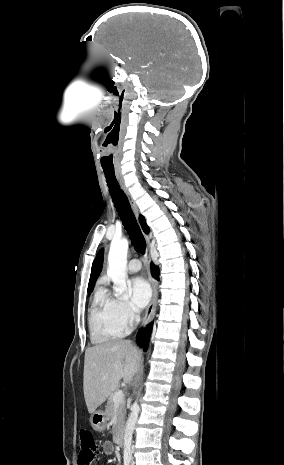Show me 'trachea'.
I'll return each mask as SVG.
<instances>
[{"label": "trachea", "mask_w": 284, "mask_h": 465, "mask_svg": "<svg viewBox=\"0 0 284 465\" xmlns=\"http://www.w3.org/2000/svg\"><path fill=\"white\" fill-rule=\"evenodd\" d=\"M103 170L111 198L122 220L124 228L129 235L131 243L137 252L144 254L146 250L145 239L141 233L135 215L132 212L128 198L124 191L120 188V185L116 179L115 170Z\"/></svg>", "instance_id": "obj_1"}]
</instances>
